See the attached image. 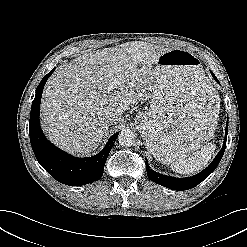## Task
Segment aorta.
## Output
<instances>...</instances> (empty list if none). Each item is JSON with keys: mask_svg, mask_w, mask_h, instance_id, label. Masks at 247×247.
<instances>
[{"mask_svg": "<svg viewBox=\"0 0 247 247\" xmlns=\"http://www.w3.org/2000/svg\"><path fill=\"white\" fill-rule=\"evenodd\" d=\"M118 142L121 146L130 147L135 143V134L129 130H122L118 136Z\"/></svg>", "mask_w": 247, "mask_h": 247, "instance_id": "1", "label": "aorta"}]
</instances>
